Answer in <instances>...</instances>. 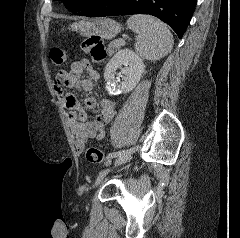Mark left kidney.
<instances>
[{
	"instance_id": "obj_1",
	"label": "left kidney",
	"mask_w": 240,
	"mask_h": 238,
	"mask_svg": "<svg viewBox=\"0 0 240 238\" xmlns=\"http://www.w3.org/2000/svg\"><path fill=\"white\" fill-rule=\"evenodd\" d=\"M122 69V82L115 80L116 70ZM143 60L130 49L119 50L107 63L104 78L107 82L106 89L110 94L129 93L139 82L144 71Z\"/></svg>"
}]
</instances>
